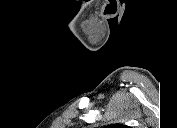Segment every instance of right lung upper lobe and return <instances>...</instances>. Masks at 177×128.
Returning <instances> with one entry per match:
<instances>
[{
	"label": "right lung upper lobe",
	"mask_w": 177,
	"mask_h": 128,
	"mask_svg": "<svg viewBox=\"0 0 177 128\" xmlns=\"http://www.w3.org/2000/svg\"><path fill=\"white\" fill-rule=\"evenodd\" d=\"M116 127H125V126H123V125H116Z\"/></svg>",
	"instance_id": "1"
}]
</instances>
